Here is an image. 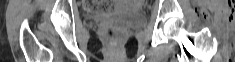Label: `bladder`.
Segmentation results:
<instances>
[{"instance_id": "obj_1", "label": "bladder", "mask_w": 235, "mask_h": 62, "mask_svg": "<svg viewBox=\"0 0 235 62\" xmlns=\"http://www.w3.org/2000/svg\"><path fill=\"white\" fill-rule=\"evenodd\" d=\"M113 17L130 26H139L145 21L142 12L130 3H121L114 12ZM88 18L91 21H98L101 19L100 16L93 14H90Z\"/></svg>"}]
</instances>
